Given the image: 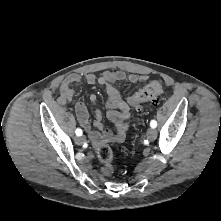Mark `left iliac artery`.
<instances>
[{
    "label": "left iliac artery",
    "instance_id": "44dca946",
    "mask_svg": "<svg viewBox=\"0 0 221 221\" xmlns=\"http://www.w3.org/2000/svg\"><path fill=\"white\" fill-rule=\"evenodd\" d=\"M150 126H151L152 128H156V126H157L156 120H151Z\"/></svg>",
    "mask_w": 221,
    "mask_h": 221
}]
</instances>
